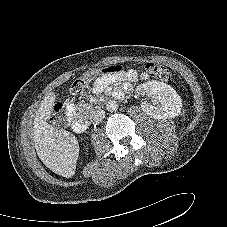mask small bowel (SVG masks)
Here are the masks:
<instances>
[{
  "instance_id": "obj_1",
  "label": "small bowel",
  "mask_w": 227,
  "mask_h": 227,
  "mask_svg": "<svg viewBox=\"0 0 227 227\" xmlns=\"http://www.w3.org/2000/svg\"><path fill=\"white\" fill-rule=\"evenodd\" d=\"M117 77H113V78H103V79H99L97 80L93 87L95 90H101L108 81L110 80H114L116 79ZM120 78H126V79H146L147 78V75L145 73H141L139 74L137 71L135 70H130L128 71L126 74L120 76Z\"/></svg>"
}]
</instances>
